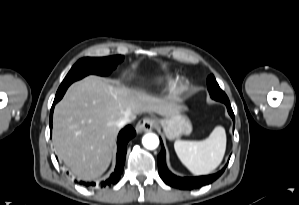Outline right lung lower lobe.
Masks as SVG:
<instances>
[{"mask_svg": "<svg viewBox=\"0 0 299 205\" xmlns=\"http://www.w3.org/2000/svg\"><path fill=\"white\" fill-rule=\"evenodd\" d=\"M58 101L54 100L53 106L51 108V112H50V131L52 130L53 109H54L55 104ZM135 135H136V132L130 125L126 126L124 129H122L120 131L119 136H118V150H117L116 167H115L114 172L110 175V177L100 183V186L102 188L103 187H109L113 184H116L119 181L120 176L123 172V168H124L125 156H126V152H127V149H126L127 143ZM80 184H83L86 187L95 186L94 182H91V183L90 182H87V183L80 182Z\"/></svg>", "mask_w": 299, "mask_h": 205, "instance_id": "obj_1", "label": "right lung lower lobe"}]
</instances>
